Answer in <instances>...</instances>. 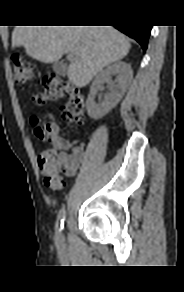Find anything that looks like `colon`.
<instances>
[{
    "instance_id": "5ec220e1",
    "label": "colon",
    "mask_w": 184,
    "mask_h": 292,
    "mask_svg": "<svg viewBox=\"0 0 184 292\" xmlns=\"http://www.w3.org/2000/svg\"><path fill=\"white\" fill-rule=\"evenodd\" d=\"M11 67L14 81L21 87L31 83L35 77L34 67L20 56L11 57ZM62 98L67 101L61 108L62 118L72 124L84 122V99L78 89L62 80L56 74H49L43 79V89L33 96V100L40 105L47 104ZM35 134L43 142L51 143L57 131L53 120L40 123L33 119ZM39 168L44 176V184L52 190L62 188L64 182L60 176V164L57 160V151L42 149L37 158Z\"/></svg>"
}]
</instances>
